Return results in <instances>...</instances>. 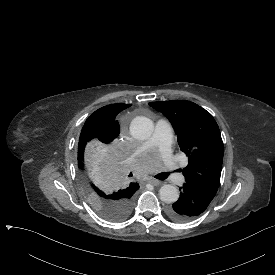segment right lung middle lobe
Returning <instances> with one entry per match:
<instances>
[{
    "instance_id": "obj_1",
    "label": "right lung middle lobe",
    "mask_w": 275,
    "mask_h": 275,
    "mask_svg": "<svg viewBox=\"0 0 275 275\" xmlns=\"http://www.w3.org/2000/svg\"><path fill=\"white\" fill-rule=\"evenodd\" d=\"M77 145L79 175L88 204L107 220H123L133 205L132 195L123 192L128 152L116 146L107 148L97 136L89 134L82 135Z\"/></svg>"
}]
</instances>
